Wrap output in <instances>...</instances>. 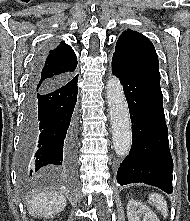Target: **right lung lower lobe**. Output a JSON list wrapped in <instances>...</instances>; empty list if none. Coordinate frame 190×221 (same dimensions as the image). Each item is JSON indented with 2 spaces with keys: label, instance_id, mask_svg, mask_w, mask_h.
Segmentation results:
<instances>
[{
  "label": "right lung lower lobe",
  "instance_id": "obj_1",
  "mask_svg": "<svg viewBox=\"0 0 190 221\" xmlns=\"http://www.w3.org/2000/svg\"><path fill=\"white\" fill-rule=\"evenodd\" d=\"M37 78L38 68L27 87L21 140L20 165L30 175L46 166L73 167L77 142L78 75L43 86Z\"/></svg>",
  "mask_w": 190,
  "mask_h": 221
}]
</instances>
